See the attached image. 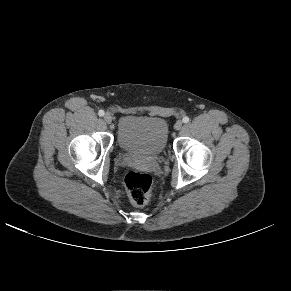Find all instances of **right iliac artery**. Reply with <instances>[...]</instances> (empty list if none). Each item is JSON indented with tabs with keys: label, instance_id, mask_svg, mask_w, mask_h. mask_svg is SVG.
<instances>
[{
	"label": "right iliac artery",
	"instance_id": "1",
	"mask_svg": "<svg viewBox=\"0 0 291 291\" xmlns=\"http://www.w3.org/2000/svg\"><path fill=\"white\" fill-rule=\"evenodd\" d=\"M104 114H105V112H104L103 110H99V112H98V115H99V116L102 117V116H104Z\"/></svg>",
	"mask_w": 291,
	"mask_h": 291
}]
</instances>
